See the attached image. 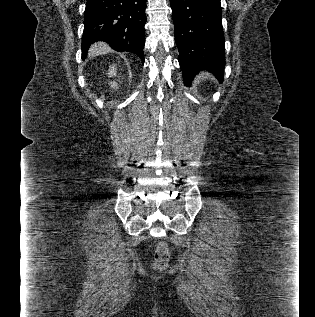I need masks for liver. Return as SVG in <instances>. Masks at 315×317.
<instances>
[{
	"mask_svg": "<svg viewBox=\"0 0 315 317\" xmlns=\"http://www.w3.org/2000/svg\"><path fill=\"white\" fill-rule=\"evenodd\" d=\"M111 49L104 43H96L94 44L90 51H89V55L91 56H97V55H101V54H106L110 51Z\"/></svg>",
	"mask_w": 315,
	"mask_h": 317,
	"instance_id": "obj_1",
	"label": "liver"
}]
</instances>
